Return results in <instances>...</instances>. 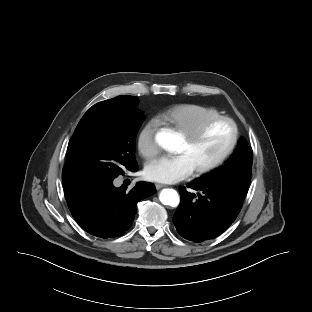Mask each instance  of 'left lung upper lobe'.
<instances>
[{"label":"left lung upper lobe","instance_id":"left-lung-upper-lobe-1","mask_svg":"<svg viewBox=\"0 0 312 312\" xmlns=\"http://www.w3.org/2000/svg\"><path fill=\"white\" fill-rule=\"evenodd\" d=\"M252 157L251 147L241 138L229 161L200 179L225 183L245 198L251 180Z\"/></svg>","mask_w":312,"mask_h":312}]
</instances>
